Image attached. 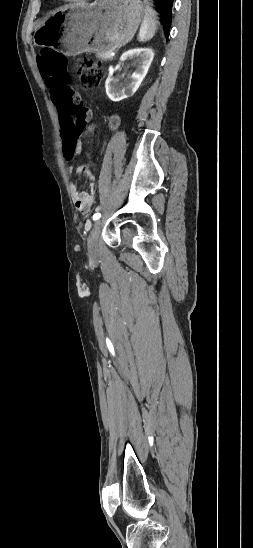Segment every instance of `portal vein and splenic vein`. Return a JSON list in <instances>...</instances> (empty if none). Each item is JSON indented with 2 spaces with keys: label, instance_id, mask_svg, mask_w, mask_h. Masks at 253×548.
Returning a JSON list of instances; mask_svg holds the SVG:
<instances>
[{
  "label": "portal vein and splenic vein",
  "instance_id": "1",
  "mask_svg": "<svg viewBox=\"0 0 253 548\" xmlns=\"http://www.w3.org/2000/svg\"><path fill=\"white\" fill-rule=\"evenodd\" d=\"M110 55L113 57V56H114V53H110Z\"/></svg>",
  "mask_w": 253,
  "mask_h": 548
}]
</instances>
